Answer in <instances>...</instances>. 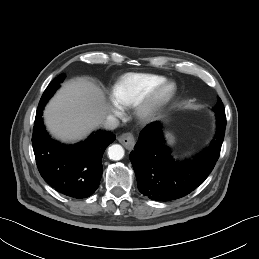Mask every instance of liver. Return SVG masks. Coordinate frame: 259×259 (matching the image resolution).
I'll list each match as a JSON object with an SVG mask.
<instances>
[{"label":"liver","mask_w":259,"mask_h":259,"mask_svg":"<svg viewBox=\"0 0 259 259\" xmlns=\"http://www.w3.org/2000/svg\"><path fill=\"white\" fill-rule=\"evenodd\" d=\"M108 113L103 91L86 78H76L57 92L47 105L44 118L55 138L73 142L102 125Z\"/></svg>","instance_id":"6515ba94"}]
</instances>
